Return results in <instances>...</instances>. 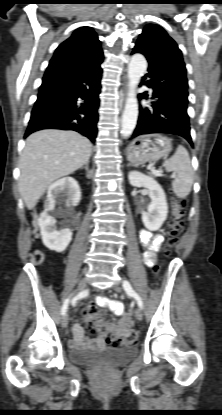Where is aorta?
Listing matches in <instances>:
<instances>
[{"mask_svg":"<svg viewBox=\"0 0 222 415\" xmlns=\"http://www.w3.org/2000/svg\"><path fill=\"white\" fill-rule=\"evenodd\" d=\"M147 69V61L142 54H134L128 65L129 91L122 115L121 134L129 137L135 129L138 118V102L136 88Z\"/></svg>","mask_w":222,"mask_h":415,"instance_id":"1","label":"aorta"}]
</instances>
